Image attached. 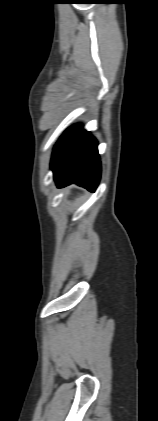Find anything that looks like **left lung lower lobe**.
<instances>
[{
  "label": "left lung lower lobe",
  "instance_id": "left-lung-lower-lobe-1",
  "mask_svg": "<svg viewBox=\"0 0 158 421\" xmlns=\"http://www.w3.org/2000/svg\"><path fill=\"white\" fill-rule=\"evenodd\" d=\"M51 168L59 188L76 183L94 192L101 174L97 141L82 126L70 127L54 147Z\"/></svg>",
  "mask_w": 158,
  "mask_h": 421
}]
</instances>
